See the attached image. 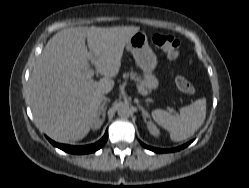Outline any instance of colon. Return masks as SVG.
I'll return each instance as SVG.
<instances>
[{"instance_id":"colon-1","label":"colon","mask_w":249,"mask_h":188,"mask_svg":"<svg viewBox=\"0 0 249 188\" xmlns=\"http://www.w3.org/2000/svg\"><path fill=\"white\" fill-rule=\"evenodd\" d=\"M154 45L163 50L170 59L175 60L179 56L180 42L177 38L171 35L154 34L152 37ZM176 86L178 89L188 96H192L195 93L193 85L182 75H177Z\"/></svg>"}]
</instances>
